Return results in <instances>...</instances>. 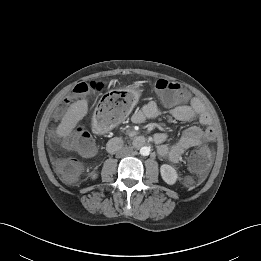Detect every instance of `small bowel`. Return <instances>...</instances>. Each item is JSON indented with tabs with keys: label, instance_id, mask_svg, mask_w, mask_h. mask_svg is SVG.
<instances>
[{
	"label": "small bowel",
	"instance_id": "small-bowel-1",
	"mask_svg": "<svg viewBox=\"0 0 261 261\" xmlns=\"http://www.w3.org/2000/svg\"><path fill=\"white\" fill-rule=\"evenodd\" d=\"M161 112L159 105L155 101H150L133 114L132 121L134 123H143L147 119L157 118L161 115ZM170 115L174 119L183 122L199 118L207 126L200 127L194 125L186 128L181 138L171 146L166 144L167 136L165 133H156L154 141L158 146V153L162 157H166L171 162L176 163L180 161L186 150L214 140L215 131L209 126V117L206 115L204 106L199 99H193L189 105H180L172 108Z\"/></svg>",
	"mask_w": 261,
	"mask_h": 261
}]
</instances>
